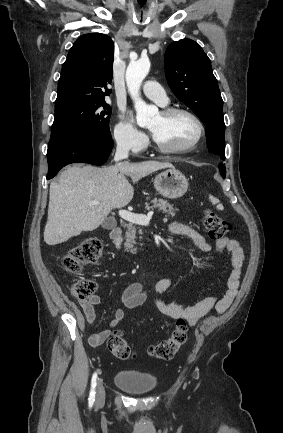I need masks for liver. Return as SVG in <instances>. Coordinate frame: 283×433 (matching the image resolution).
<instances>
[{
  "label": "liver",
  "mask_w": 283,
  "mask_h": 433,
  "mask_svg": "<svg viewBox=\"0 0 283 433\" xmlns=\"http://www.w3.org/2000/svg\"><path fill=\"white\" fill-rule=\"evenodd\" d=\"M174 168L171 162H117L112 166L73 164L63 170L59 180L50 182L48 221L44 231L47 245H59L82 231H95L113 208H122L133 198L134 188L125 174L138 182L143 176ZM99 200L100 204H90Z\"/></svg>",
  "instance_id": "1"
}]
</instances>
